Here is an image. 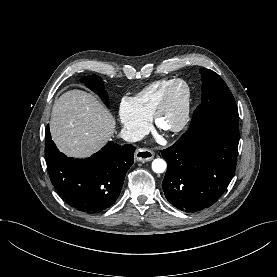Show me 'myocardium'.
Here are the masks:
<instances>
[{"mask_svg":"<svg viewBox=\"0 0 277 277\" xmlns=\"http://www.w3.org/2000/svg\"><path fill=\"white\" fill-rule=\"evenodd\" d=\"M183 86L185 90L184 99L180 108L179 118L177 122L170 128L162 129L160 126V120L165 112L171 94L177 86ZM191 106V89L188 83L182 79H174L164 90L162 96L152 114V122L156 128L162 130L166 134H176L182 131L188 123Z\"/></svg>","mask_w":277,"mask_h":277,"instance_id":"f54148a6","label":"myocardium"}]
</instances>
